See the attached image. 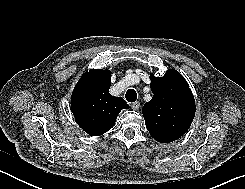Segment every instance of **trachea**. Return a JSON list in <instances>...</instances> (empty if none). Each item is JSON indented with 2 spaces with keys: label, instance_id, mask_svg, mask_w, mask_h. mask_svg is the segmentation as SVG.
Here are the masks:
<instances>
[{
  "label": "trachea",
  "instance_id": "1",
  "mask_svg": "<svg viewBox=\"0 0 245 189\" xmlns=\"http://www.w3.org/2000/svg\"><path fill=\"white\" fill-rule=\"evenodd\" d=\"M125 98L128 102H135L137 99V92L134 89H128Z\"/></svg>",
  "mask_w": 245,
  "mask_h": 189
}]
</instances>
